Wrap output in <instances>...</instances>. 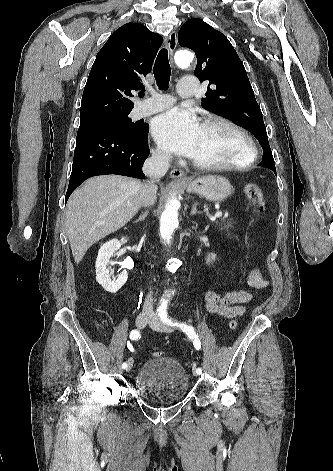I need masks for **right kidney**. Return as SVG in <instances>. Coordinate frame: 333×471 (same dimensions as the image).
<instances>
[{
  "mask_svg": "<svg viewBox=\"0 0 333 471\" xmlns=\"http://www.w3.org/2000/svg\"><path fill=\"white\" fill-rule=\"evenodd\" d=\"M126 242L127 240L125 238H122L120 241L112 239L103 244L98 252L95 264L96 280L104 290L110 293H116L126 283L128 278L126 270H124L116 280H111V275L109 274L110 258L113 256V253Z\"/></svg>",
  "mask_w": 333,
  "mask_h": 471,
  "instance_id": "right-kidney-1",
  "label": "right kidney"
}]
</instances>
